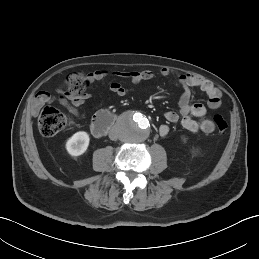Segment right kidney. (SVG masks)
Instances as JSON below:
<instances>
[{"label":"right kidney","mask_w":259,"mask_h":259,"mask_svg":"<svg viewBox=\"0 0 259 259\" xmlns=\"http://www.w3.org/2000/svg\"><path fill=\"white\" fill-rule=\"evenodd\" d=\"M89 135L84 131L73 134L66 142V150L71 156L82 155L88 148Z\"/></svg>","instance_id":"right-kidney-1"}]
</instances>
